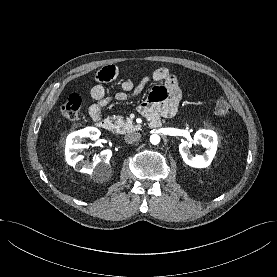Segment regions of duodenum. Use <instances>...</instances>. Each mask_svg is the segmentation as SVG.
<instances>
[{"instance_id":"410a0bca","label":"duodenum","mask_w":277,"mask_h":277,"mask_svg":"<svg viewBox=\"0 0 277 277\" xmlns=\"http://www.w3.org/2000/svg\"><path fill=\"white\" fill-rule=\"evenodd\" d=\"M149 120H150V125L152 127H156L160 124V119L158 116H150L149 117ZM95 124L98 128L102 129V130H106V131H109L111 129V123L109 120H106V119H97L95 120Z\"/></svg>"}]
</instances>
